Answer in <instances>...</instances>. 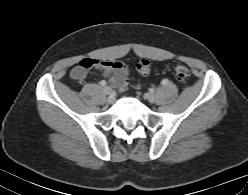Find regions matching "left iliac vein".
<instances>
[{
  "label": "left iliac vein",
  "instance_id": "obj_1",
  "mask_svg": "<svg viewBox=\"0 0 248 195\" xmlns=\"http://www.w3.org/2000/svg\"><path fill=\"white\" fill-rule=\"evenodd\" d=\"M146 98L150 103H154L156 101V95L154 93H147Z\"/></svg>",
  "mask_w": 248,
  "mask_h": 195
}]
</instances>
